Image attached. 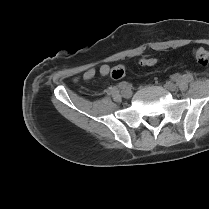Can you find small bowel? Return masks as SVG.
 <instances>
[{
  "label": "small bowel",
  "mask_w": 209,
  "mask_h": 209,
  "mask_svg": "<svg viewBox=\"0 0 209 209\" xmlns=\"http://www.w3.org/2000/svg\"><path fill=\"white\" fill-rule=\"evenodd\" d=\"M109 71H110V67L107 64L102 65L99 70L102 76L108 75ZM95 73H96L95 69L91 68L85 72L83 77L85 80H90L95 76Z\"/></svg>",
  "instance_id": "small-bowel-1"
}]
</instances>
